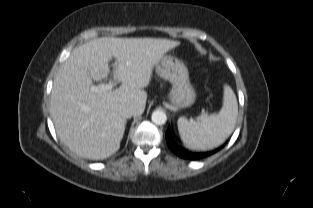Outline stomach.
I'll return each instance as SVG.
<instances>
[{
	"mask_svg": "<svg viewBox=\"0 0 313 208\" xmlns=\"http://www.w3.org/2000/svg\"><path fill=\"white\" fill-rule=\"evenodd\" d=\"M156 73L172 84L169 102L178 109L194 103L195 91L190 84L187 67L177 58L164 55L155 65Z\"/></svg>",
	"mask_w": 313,
	"mask_h": 208,
	"instance_id": "stomach-1",
	"label": "stomach"
}]
</instances>
